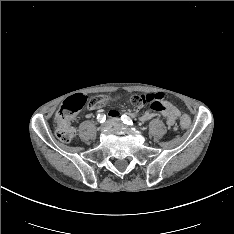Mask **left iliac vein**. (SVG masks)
I'll return each instance as SVG.
<instances>
[{
    "instance_id": "1",
    "label": "left iliac vein",
    "mask_w": 234,
    "mask_h": 234,
    "mask_svg": "<svg viewBox=\"0 0 234 234\" xmlns=\"http://www.w3.org/2000/svg\"><path fill=\"white\" fill-rule=\"evenodd\" d=\"M110 122L114 127H117V128H124L125 127V125L118 118H113V119H111Z\"/></svg>"
}]
</instances>
